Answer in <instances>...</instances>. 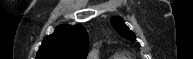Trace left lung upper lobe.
Returning <instances> with one entry per match:
<instances>
[{
    "instance_id": "5c2ea615",
    "label": "left lung upper lobe",
    "mask_w": 193,
    "mask_h": 59,
    "mask_svg": "<svg viewBox=\"0 0 193 59\" xmlns=\"http://www.w3.org/2000/svg\"><path fill=\"white\" fill-rule=\"evenodd\" d=\"M111 24L122 37L130 41L136 40V35L125 25L124 20L121 17H112Z\"/></svg>"
}]
</instances>
